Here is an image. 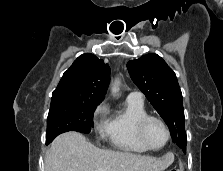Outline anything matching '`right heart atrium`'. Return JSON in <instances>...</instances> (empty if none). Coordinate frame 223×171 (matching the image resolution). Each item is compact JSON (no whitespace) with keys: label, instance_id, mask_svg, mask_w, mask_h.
I'll use <instances>...</instances> for the list:
<instances>
[{"label":"right heart atrium","instance_id":"obj_1","mask_svg":"<svg viewBox=\"0 0 223 171\" xmlns=\"http://www.w3.org/2000/svg\"><path fill=\"white\" fill-rule=\"evenodd\" d=\"M108 112V106L106 103H101L98 105L94 111V126L97 132L103 133L107 128V121H104V116Z\"/></svg>","mask_w":223,"mask_h":171}]
</instances>
